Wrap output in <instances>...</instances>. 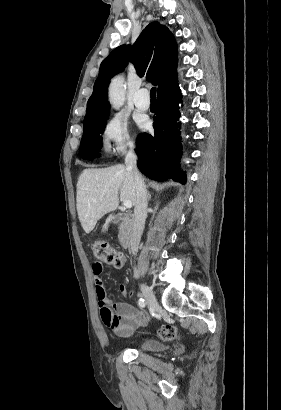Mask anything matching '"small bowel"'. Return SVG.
<instances>
[{
    "label": "small bowel",
    "instance_id": "small-bowel-1",
    "mask_svg": "<svg viewBox=\"0 0 281 410\" xmlns=\"http://www.w3.org/2000/svg\"><path fill=\"white\" fill-rule=\"evenodd\" d=\"M104 265L100 261H94L92 264V272L95 281V291L98 301V306L101 310V315L105 312H110L119 320V325L113 329V333L118 337H127L140 325L146 321V315L139 309L129 303L113 304L109 298L105 286L102 281V273ZM122 295L127 296L128 290L124 285L120 286Z\"/></svg>",
    "mask_w": 281,
    "mask_h": 410
}]
</instances>
